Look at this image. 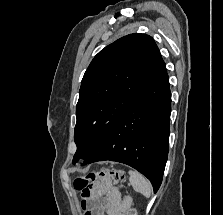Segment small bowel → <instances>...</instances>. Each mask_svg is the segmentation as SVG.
Here are the masks:
<instances>
[{"instance_id": "1", "label": "small bowel", "mask_w": 223, "mask_h": 215, "mask_svg": "<svg viewBox=\"0 0 223 215\" xmlns=\"http://www.w3.org/2000/svg\"><path fill=\"white\" fill-rule=\"evenodd\" d=\"M131 205L132 199L122 198L109 178L98 180L84 194L85 215H126Z\"/></svg>"}]
</instances>
